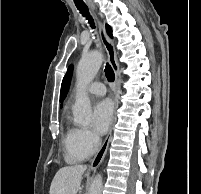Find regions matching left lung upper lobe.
I'll return each mask as SVG.
<instances>
[{"label":"left lung upper lobe","mask_w":201,"mask_h":194,"mask_svg":"<svg viewBox=\"0 0 201 194\" xmlns=\"http://www.w3.org/2000/svg\"><path fill=\"white\" fill-rule=\"evenodd\" d=\"M107 28V32L108 34L112 37V30L111 27L109 25H106ZM72 70H73V66L71 65L66 73V75L63 78L62 81V85H61V96H60V101H63L64 98L66 97L68 88H69V84H70V79H71V75H72Z\"/></svg>","instance_id":"5c2ea615"}]
</instances>
